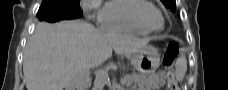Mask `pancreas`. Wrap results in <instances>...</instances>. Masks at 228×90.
Instances as JSON below:
<instances>
[{
    "mask_svg": "<svg viewBox=\"0 0 228 90\" xmlns=\"http://www.w3.org/2000/svg\"><path fill=\"white\" fill-rule=\"evenodd\" d=\"M128 86H131L133 90H150L159 89L165 84V79L151 75L149 77L145 75L130 74L124 78Z\"/></svg>",
    "mask_w": 228,
    "mask_h": 90,
    "instance_id": "pancreas-1",
    "label": "pancreas"
}]
</instances>
